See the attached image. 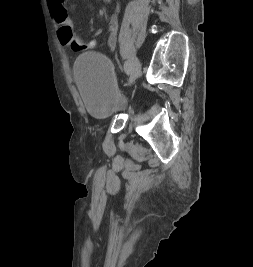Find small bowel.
I'll list each match as a JSON object with an SVG mask.
<instances>
[{"mask_svg": "<svg viewBox=\"0 0 253 267\" xmlns=\"http://www.w3.org/2000/svg\"><path fill=\"white\" fill-rule=\"evenodd\" d=\"M113 1V0H105ZM48 8L59 26L68 25L72 27V22L69 16V11L77 6L74 3L71 6L67 5L66 0H47ZM119 29V20L117 15H112L108 21V38L107 44L111 50H114L117 45V35Z\"/></svg>", "mask_w": 253, "mask_h": 267, "instance_id": "c3829d8e", "label": "small bowel"}]
</instances>
